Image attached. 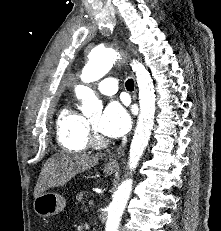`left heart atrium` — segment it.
I'll list each match as a JSON object with an SVG mask.
<instances>
[{"label": "left heart atrium", "mask_w": 221, "mask_h": 231, "mask_svg": "<svg viewBox=\"0 0 221 231\" xmlns=\"http://www.w3.org/2000/svg\"><path fill=\"white\" fill-rule=\"evenodd\" d=\"M131 124L128 111L117 102H111L104 110L99 122L98 130L110 138H119L125 135Z\"/></svg>", "instance_id": "39dd6f15"}]
</instances>
